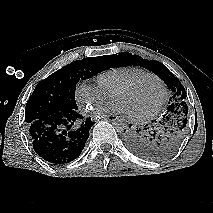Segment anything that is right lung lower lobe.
<instances>
[{
	"label": "right lung lower lobe",
	"mask_w": 213,
	"mask_h": 213,
	"mask_svg": "<svg viewBox=\"0 0 213 213\" xmlns=\"http://www.w3.org/2000/svg\"><path fill=\"white\" fill-rule=\"evenodd\" d=\"M94 123L76 110H64L28 126L35 152L54 165L75 160L81 154Z\"/></svg>",
	"instance_id": "obj_1"
}]
</instances>
